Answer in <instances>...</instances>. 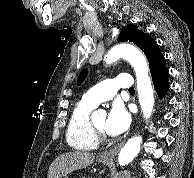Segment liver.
Wrapping results in <instances>:
<instances>
[{"mask_svg": "<svg viewBox=\"0 0 194 178\" xmlns=\"http://www.w3.org/2000/svg\"><path fill=\"white\" fill-rule=\"evenodd\" d=\"M95 155L86 151H72L59 155L50 165L48 178H62L63 176L91 165Z\"/></svg>", "mask_w": 194, "mask_h": 178, "instance_id": "1", "label": "liver"}]
</instances>
